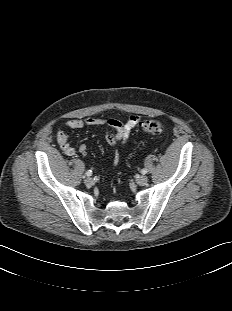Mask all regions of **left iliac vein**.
<instances>
[{
	"instance_id": "obj_1",
	"label": "left iliac vein",
	"mask_w": 232,
	"mask_h": 311,
	"mask_svg": "<svg viewBox=\"0 0 232 311\" xmlns=\"http://www.w3.org/2000/svg\"><path fill=\"white\" fill-rule=\"evenodd\" d=\"M136 181L139 185L143 186L148 182V177L145 175H142V176L138 177Z\"/></svg>"
}]
</instances>
